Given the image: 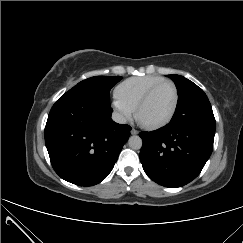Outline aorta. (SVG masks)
<instances>
[{
    "mask_svg": "<svg viewBox=\"0 0 243 243\" xmlns=\"http://www.w3.org/2000/svg\"><path fill=\"white\" fill-rule=\"evenodd\" d=\"M128 145L130 148L138 150L142 147V139L137 135L130 136Z\"/></svg>",
    "mask_w": 243,
    "mask_h": 243,
    "instance_id": "obj_1",
    "label": "aorta"
}]
</instances>
